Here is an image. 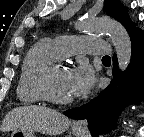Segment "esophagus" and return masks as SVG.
<instances>
[{
  "label": "esophagus",
  "mask_w": 144,
  "mask_h": 137,
  "mask_svg": "<svg viewBox=\"0 0 144 137\" xmlns=\"http://www.w3.org/2000/svg\"><path fill=\"white\" fill-rule=\"evenodd\" d=\"M74 128L79 130H86L88 127L87 120H77L73 124Z\"/></svg>",
  "instance_id": "1"
}]
</instances>
